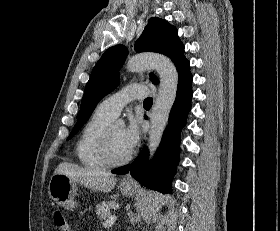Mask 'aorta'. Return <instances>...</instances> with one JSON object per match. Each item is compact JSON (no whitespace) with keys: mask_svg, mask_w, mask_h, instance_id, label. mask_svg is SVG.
Masks as SVG:
<instances>
[{"mask_svg":"<svg viewBox=\"0 0 280 231\" xmlns=\"http://www.w3.org/2000/svg\"><path fill=\"white\" fill-rule=\"evenodd\" d=\"M128 72H142L147 68H153L159 74L160 84L158 96L154 104L151 125L149 131V151L152 159L159 143L162 139L163 131L168 123L171 108L175 102L178 72L171 60L161 54H140L130 58L126 66ZM123 121V119H118Z\"/></svg>","mask_w":280,"mask_h":231,"instance_id":"obj_1","label":"aorta"}]
</instances>
